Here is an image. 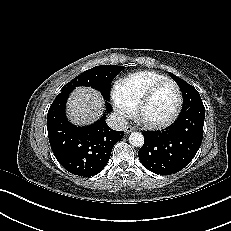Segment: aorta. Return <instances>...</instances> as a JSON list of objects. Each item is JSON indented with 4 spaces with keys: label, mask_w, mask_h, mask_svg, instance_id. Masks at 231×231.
<instances>
[{
    "label": "aorta",
    "mask_w": 231,
    "mask_h": 231,
    "mask_svg": "<svg viewBox=\"0 0 231 231\" xmlns=\"http://www.w3.org/2000/svg\"><path fill=\"white\" fill-rule=\"evenodd\" d=\"M129 143L134 147H142L144 136L140 132H132L129 136Z\"/></svg>",
    "instance_id": "762f6f07"
}]
</instances>
